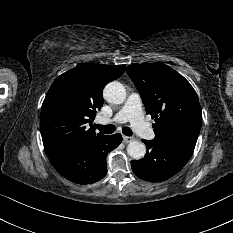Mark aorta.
Listing matches in <instances>:
<instances>
[{
	"mask_svg": "<svg viewBox=\"0 0 233 233\" xmlns=\"http://www.w3.org/2000/svg\"><path fill=\"white\" fill-rule=\"evenodd\" d=\"M105 100L113 104H121L126 99V90L124 86L117 81L108 83L104 90ZM127 152L133 159H141L146 153V146L140 141H131L127 146Z\"/></svg>",
	"mask_w": 233,
	"mask_h": 233,
	"instance_id": "obj_1",
	"label": "aorta"
}]
</instances>
